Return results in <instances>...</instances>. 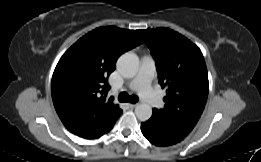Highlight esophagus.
<instances>
[{
	"instance_id": "obj_1",
	"label": "esophagus",
	"mask_w": 261,
	"mask_h": 162,
	"mask_svg": "<svg viewBox=\"0 0 261 162\" xmlns=\"http://www.w3.org/2000/svg\"><path fill=\"white\" fill-rule=\"evenodd\" d=\"M137 105H138V103H134V104H133V103H130V104H129V106H130L131 108H134V107H136Z\"/></svg>"
}]
</instances>
